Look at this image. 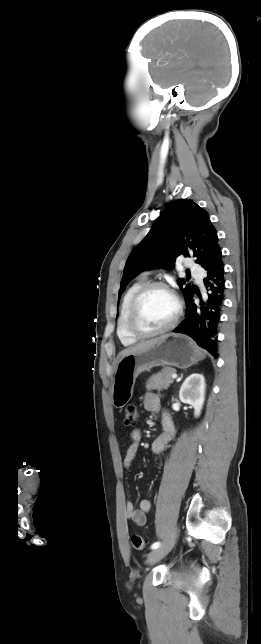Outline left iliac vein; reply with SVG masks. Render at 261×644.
<instances>
[{"label": "left iliac vein", "mask_w": 261, "mask_h": 644, "mask_svg": "<svg viewBox=\"0 0 261 644\" xmlns=\"http://www.w3.org/2000/svg\"><path fill=\"white\" fill-rule=\"evenodd\" d=\"M176 538H177V526L172 528L166 542L161 547L154 549L148 554L147 564L154 565L155 563L160 561L164 556H166L173 548Z\"/></svg>", "instance_id": "4c4485c4"}]
</instances>
